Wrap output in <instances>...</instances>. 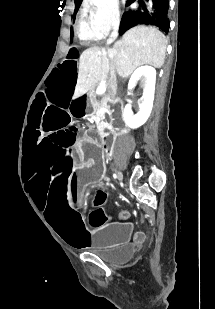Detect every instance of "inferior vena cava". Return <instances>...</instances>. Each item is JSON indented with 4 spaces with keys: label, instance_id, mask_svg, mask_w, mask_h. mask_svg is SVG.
<instances>
[{
    "label": "inferior vena cava",
    "instance_id": "602c4592",
    "mask_svg": "<svg viewBox=\"0 0 215 309\" xmlns=\"http://www.w3.org/2000/svg\"><path fill=\"white\" fill-rule=\"evenodd\" d=\"M118 28H119V22H113V30L107 38L106 44H111V42H114L118 36ZM108 56H109V74H108V88H107V96L109 100H114L116 94H117V74H116V68L114 64V54L113 52H110L108 50Z\"/></svg>",
    "mask_w": 215,
    "mask_h": 309
}]
</instances>
